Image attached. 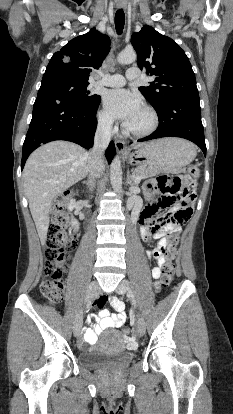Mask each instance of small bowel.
Instances as JSON below:
<instances>
[{"label": "small bowel", "mask_w": 233, "mask_h": 414, "mask_svg": "<svg viewBox=\"0 0 233 414\" xmlns=\"http://www.w3.org/2000/svg\"><path fill=\"white\" fill-rule=\"evenodd\" d=\"M152 206L146 207L140 214V235L144 241L158 239L159 242L155 249L147 251L149 258L153 257L157 261V266L153 268L152 275L155 279L160 278L161 268L166 264L167 259L163 254L166 246V236L180 231L182 223L175 218L176 208L156 217L152 211ZM141 204L136 201L134 212L136 216L140 213ZM157 283V282H156ZM155 283V284H156ZM109 303L116 311L111 313L105 308V304ZM93 308H99L97 324L92 327L84 328L82 332L83 341L87 344H93L98 334L107 328H120L127 319L125 304L117 297L100 296L96 301L92 302ZM128 310H133V305H128Z\"/></svg>", "instance_id": "c3829d8e"}]
</instances>
